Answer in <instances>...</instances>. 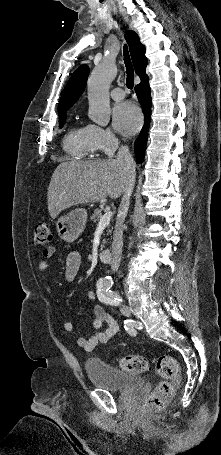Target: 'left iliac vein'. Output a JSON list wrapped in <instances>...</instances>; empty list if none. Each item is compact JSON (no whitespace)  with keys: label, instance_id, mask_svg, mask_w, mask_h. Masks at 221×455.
<instances>
[{"label":"left iliac vein","instance_id":"4c4485c4","mask_svg":"<svg viewBox=\"0 0 221 455\" xmlns=\"http://www.w3.org/2000/svg\"><path fill=\"white\" fill-rule=\"evenodd\" d=\"M120 311L122 312V314L126 317H130L131 316V311L130 309L124 305V304H121L120 306Z\"/></svg>","mask_w":221,"mask_h":455}]
</instances>
